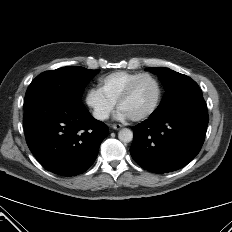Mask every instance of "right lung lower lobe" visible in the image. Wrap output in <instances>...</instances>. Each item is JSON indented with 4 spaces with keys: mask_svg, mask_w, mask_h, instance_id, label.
Masks as SVG:
<instances>
[{
    "mask_svg": "<svg viewBox=\"0 0 232 232\" xmlns=\"http://www.w3.org/2000/svg\"><path fill=\"white\" fill-rule=\"evenodd\" d=\"M26 142L39 163L62 176L85 172L109 129L81 101L42 99L24 106Z\"/></svg>",
    "mask_w": 232,
    "mask_h": 232,
    "instance_id": "right-lung-lower-lobe-1",
    "label": "right lung lower lobe"
}]
</instances>
